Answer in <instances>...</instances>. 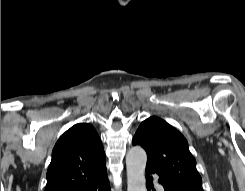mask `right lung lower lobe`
<instances>
[{
    "instance_id": "1",
    "label": "right lung lower lobe",
    "mask_w": 245,
    "mask_h": 191,
    "mask_svg": "<svg viewBox=\"0 0 245 191\" xmlns=\"http://www.w3.org/2000/svg\"><path fill=\"white\" fill-rule=\"evenodd\" d=\"M74 191H111L108 177L92 181L86 186L75 189Z\"/></svg>"
}]
</instances>
